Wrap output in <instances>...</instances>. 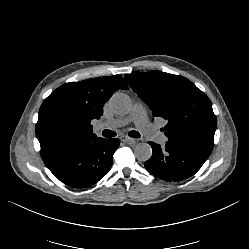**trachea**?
Masks as SVG:
<instances>
[{
	"label": "trachea",
	"instance_id": "trachea-1",
	"mask_svg": "<svg viewBox=\"0 0 249 249\" xmlns=\"http://www.w3.org/2000/svg\"><path fill=\"white\" fill-rule=\"evenodd\" d=\"M102 135L106 138H111V137H114L117 135V133L115 131H112V130H108V129H105L102 131ZM128 135L132 138H139L140 137V134L137 132V131H130L128 132Z\"/></svg>",
	"mask_w": 249,
	"mask_h": 249
}]
</instances>
